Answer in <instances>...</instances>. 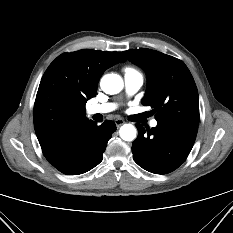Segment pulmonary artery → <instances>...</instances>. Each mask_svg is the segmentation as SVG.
<instances>
[{"label":"pulmonary artery","instance_id":"e3ab8cb5","mask_svg":"<svg viewBox=\"0 0 233 233\" xmlns=\"http://www.w3.org/2000/svg\"><path fill=\"white\" fill-rule=\"evenodd\" d=\"M124 81L127 93L132 95L142 87L144 79L141 74H128L125 75ZM115 108L114 103L94 104L89 107L88 112L90 114H105L115 110ZM157 124L156 120L150 122L151 127H156Z\"/></svg>","mask_w":233,"mask_h":233}]
</instances>
